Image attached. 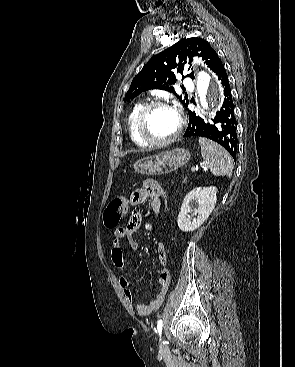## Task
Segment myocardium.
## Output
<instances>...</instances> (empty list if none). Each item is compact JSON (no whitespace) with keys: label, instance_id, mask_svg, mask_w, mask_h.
I'll return each mask as SVG.
<instances>
[{"label":"myocardium","instance_id":"f54148a6","mask_svg":"<svg viewBox=\"0 0 295 367\" xmlns=\"http://www.w3.org/2000/svg\"><path fill=\"white\" fill-rule=\"evenodd\" d=\"M160 107L172 109L176 113L178 117V127L172 136L166 139H163V140H156L148 135L147 130H146V123H147V119H148L150 112ZM183 127H184V120L182 116L180 115V113L174 107H172L168 102L160 101V100L152 101L150 103L145 104L143 108L141 109V111L139 112V115L136 121V129H137V133L139 137L148 145L157 146V147L166 146L176 141L179 138V136L181 135L183 131Z\"/></svg>","mask_w":295,"mask_h":367}]
</instances>
